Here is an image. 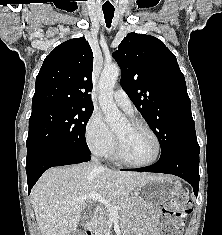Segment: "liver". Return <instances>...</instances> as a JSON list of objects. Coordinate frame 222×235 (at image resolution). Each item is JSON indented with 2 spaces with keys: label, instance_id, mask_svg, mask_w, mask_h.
Here are the masks:
<instances>
[{
  "label": "liver",
  "instance_id": "obj_1",
  "mask_svg": "<svg viewBox=\"0 0 222 235\" xmlns=\"http://www.w3.org/2000/svg\"><path fill=\"white\" fill-rule=\"evenodd\" d=\"M157 176L119 172L96 163L47 170L31 191V203L41 235H70L82 211L79 197L97 192L110 199L126 198L134 189Z\"/></svg>",
  "mask_w": 222,
  "mask_h": 235
}]
</instances>
